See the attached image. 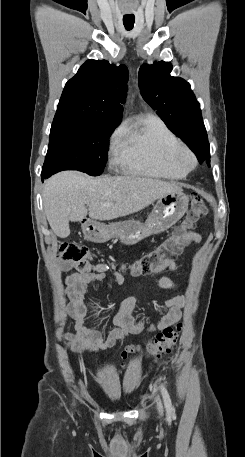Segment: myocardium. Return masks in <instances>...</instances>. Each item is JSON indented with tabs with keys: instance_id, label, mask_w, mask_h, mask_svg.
Listing matches in <instances>:
<instances>
[{
	"instance_id": "f54148a6",
	"label": "myocardium",
	"mask_w": 245,
	"mask_h": 457,
	"mask_svg": "<svg viewBox=\"0 0 245 457\" xmlns=\"http://www.w3.org/2000/svg\"><path fill=\"white\" fill-rule=\"evenodd\" d=\"M159 161L186 172L191 171L197 165V159L194 153L184 144H179L164 153L159 154Z\"/></svg>"
}]
</instances>
